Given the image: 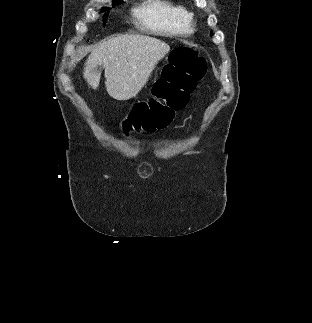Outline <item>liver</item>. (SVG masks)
<instances>
[{
    "label": "liver",
    "mask_w": 312,
    "mask_h": 323,
    "mask_svg": "<svg viewBox=\"0 0 312 323\" xmlns=\"http://www.w3.org/2000/svg\"><path fill=\"white\" fill-rule=\"evenodd\" d=\"M170 46L150 36L121 34L107 38L91 52L83 78L97 90L101 78L99 66L105 68L106 90L114 100H131L144 88L156 64L168 54Z\"/></svg>",
    "instance_id": "6515ba94"
}]
</instances>
